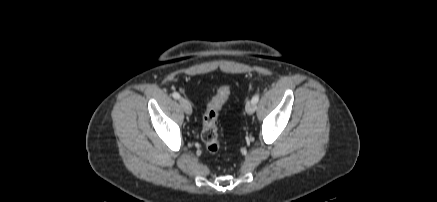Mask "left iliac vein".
Masks as SVG:
<instances>
[{
  "label": "left iliac vein",
  "instance_id": "left-iliac-vein-1",
  "mask_svg": "<svg viewBox=\"0 0 437 202\" xmlns=\"http://www.w3.org/2000/svg\"><path fill=\"white\" fill-rule=\"evenodd\" d=\"M245 109H246V112H247L248 114L251 115V114H253V113L255 112V110H256V104L253 103L252 101H248V102L246 103Z\"/></svg>",
  "mask_w": 437,
  "mask_h": 202
}]
</instances>
